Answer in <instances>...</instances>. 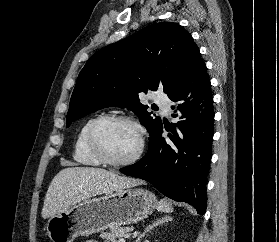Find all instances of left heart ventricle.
<instances>
[{"mask_svg":"<svg viewBox=\"0 0 279 242\" xmlns=\"http://www.w3.org/2000/svg\"><path fill=\"white\" fill-rule=\"evenodd\" d=\"M99 136L105 151L115 160L131 157L138 147V132L127 123L106 124Z\"/></svg>","mask_w":279,"mask_h":242,"instance_id":"b2bd125f","label":"left heart ventricle"}]
</instances>
